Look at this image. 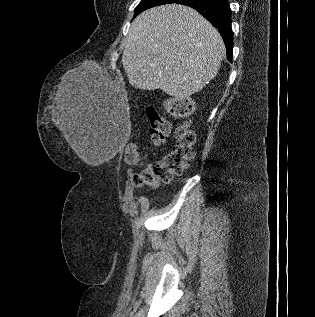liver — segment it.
Returning a JSON list of instances; mask_svg holds the SVG:
<instances>
[{"instance_id":"liver-1","label":"liver","mask_w":315,"mask_h":317,"mask_svg":"<svg viewBox=\"0 0 315 317\" xmlns=\"http://www.w3.org/2000/svg\"><path fill=\"white\" fill-rule=\"evenodd\" d=\"M226 49L218 31L192 8H152L131 24L122 64L138 89H162L178 100L200 91L218 73ZM68 87L58 90L55 122L75 153L83 155V121Z\"/></svg>"}]
</instances>
